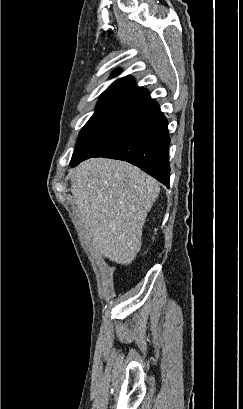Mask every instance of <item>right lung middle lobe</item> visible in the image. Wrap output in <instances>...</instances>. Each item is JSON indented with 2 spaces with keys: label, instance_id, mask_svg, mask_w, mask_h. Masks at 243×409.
<instances>
[{
  "label": "right lung middle lobe",
  "instance_id": "obj_1",
  "mask_svg": "<svg viewBox=\"0 0 243 409\" xmlns=\"http://www.w3.org/2000/svg\"><path fill=\"white\" fill-rule=\"evenodd\" d=\"M121 103V101H99L95 113L80 131L76 145L78 146L98 129L117 110Z\"/></svg>",
  "mask_w": 243,
  "mask_h": 409
}]
</instances>
